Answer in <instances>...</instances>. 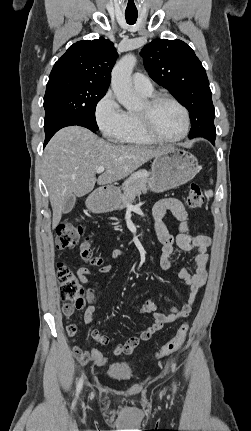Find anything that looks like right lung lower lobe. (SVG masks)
<instances>
[{
	"mask_svg": "<svg viewBox=\"0 0 251 431\" xmlns=\"http://www.w3.org/2000/svg\"><path fill=\"white\" fill-rule=\"evenodd\" d=\"M72 125H78V126H83L86 127L88 129H90L92 132H97L96 129L92 128L91 126H89L88 124H86L85 122L82 121H78V120H63L57 124H55L53 127L48 128L45 130V142H44V147L45 145L48 143V141L51 139V137L61 128L66 127V126H72Z\"/></svg>",
	"mask_w": 251,
	"mask_h": 431,
	"instance_id": "obj_1",
	"label": "right lung lower lobe"
}]
</instances>
